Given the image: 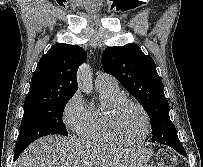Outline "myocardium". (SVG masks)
Masks as SVG:
<instances>
[{
	"instance_id": "1",
	"label": "myocardium",
	"mask_w": 203,
	"mask_h": 167,
	"mask_svg": "<svg viewBox=\"0 0 203 167\" xmlns=\"http://www.w3.org/2000/svg\"><path fill=\"white\" fill-rule=\"evenodd\" d=\"M125 104H131V105H134L135 107H137L141 111L143 118H144L143 133L138 139H135V140H127V139L122 138L117 133L116 128H115L116 116H117L120 108ZM104 128H105L106 133L115 142L120 143V144H124V145H129V146L138 145V144L142 143L147 138V136L149 134L150 116H149L147 110L145 109V107L141 103H139L138 101L131 99L129 97H126V96H119L112 102L109 110L105 114Z\"/></svg>"
}]
</instances>
